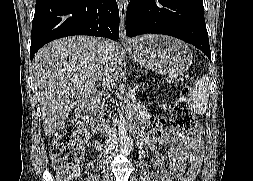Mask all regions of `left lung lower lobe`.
I'll list each match as a JSON object with an SVG mask.
<instances>
[{"label": "left lung lower lobe", "instance_id": "1", "mask_svg": "<svg viewBox=\"0 0 253 181\" xmlns=\"http://www.w3.org/2000/svg\"><path fill=\"white\" fill-rule=\"evenodd\" d=\"M164 34L199 48L211 60L202 0H130L126 35Z\"/></svg>", "mask_w": 253, "mask_h": 181}]
</instances>
